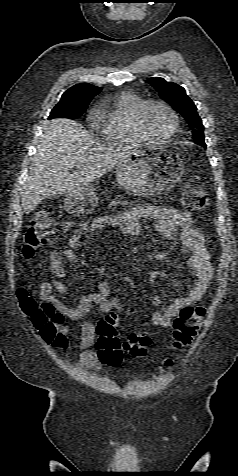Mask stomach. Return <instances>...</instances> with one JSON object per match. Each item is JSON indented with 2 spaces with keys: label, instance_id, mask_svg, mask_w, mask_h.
<instances>
[{
  "label": "stomach",
  "instance_id": "1",
  "mask_svg": "<svg viewBox=\"0 0 238 476\" xmlns=\"http://www.w3.org/2000/svg\"><path fill=\"white\" fill-rule=\"evenodd\" d=\"M134 158L118 164V185L134 194L152 196L172 188L184 171V162L173 150H162L161 144H150L149 151H135ZM98 203L96 188L89 184L69 191L65 208L73 214H87Z\"/></svg>",
  "mask_w": 238,
  "mask_h": 476
}]
</instances>
